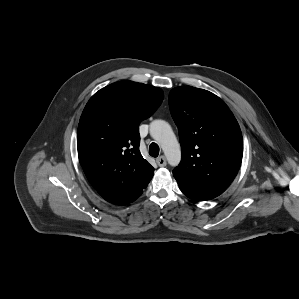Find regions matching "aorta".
I'll return each instance as SVG.
<instances>
[{"label":"aorta","instance_id":"762f6f07","mask_svg":"<svg viewBox=\"0 0 299 299\" xmlns=\"http://www.w3.org/2000/svg\"><path fill=\"white\" fill-rule=\"evenodd\" d=\"M150 135L161 146L168 163L177 166L181 160V150L170 124L164 120H154L150 124Z\"/></svg>","mask_w":299,"mask_h":299}]
</instances>
